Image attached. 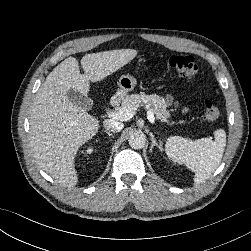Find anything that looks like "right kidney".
I'll return each mask as SVG.
<instances>
[{"label": "right kidney", "mask_w": 251, "mask_h": 251, "mask_svg": "<svg viewBox=\"0 0 251 251\" xmlns=\"http://www.w3.org/2000/svg\"><path fill=\"white\" fill-rule=\"evenodd\" d=\"M92 151H93V149H92V148H88V149L86 150V152H87L88 154H91V153H92Z\"/></svg>", "instance_id": "right-kidney-1"}]
</instances>
